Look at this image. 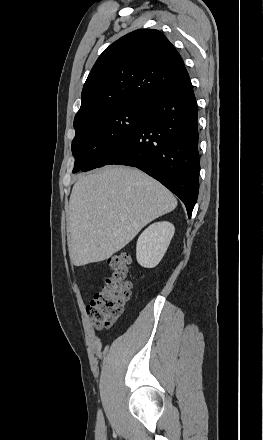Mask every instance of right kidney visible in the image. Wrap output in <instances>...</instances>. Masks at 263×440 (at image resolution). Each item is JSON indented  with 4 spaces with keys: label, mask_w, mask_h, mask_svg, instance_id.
Masks as SVG:
<instances>
[{
    "label": "right kidney",
    "mask_w": 263,
    "mask_h": 440,
    "mask_svg": "<svg viewBox=\"0 0 263 440\" xmlns=\"http://www.w3.org/2000/svg\"><path fill=\"white\" fill-rule=\"evenodd\" d=\"M174 232V225L166 221L153 223L146 228L137 241V262L145 268L157 266L163 258Z\"/></svg>",
    "instance_id": "right-kidney-1"
}]
</instances>
